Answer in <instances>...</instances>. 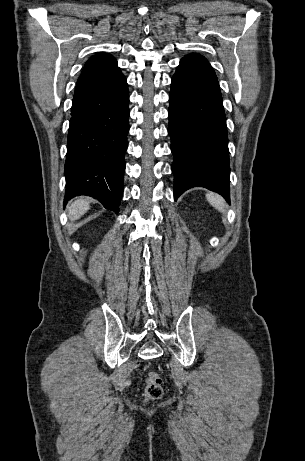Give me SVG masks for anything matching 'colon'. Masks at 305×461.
<instances>
[{
  "label": "colon",
  "mask_w": 305,
  "mask_h": 461,
  "mask_svg": "<svg viewBox=\"0 0 305 461\" xmlns=\"http://www.w3.org/2000/svg\"><path fill=\"white\" fill-rule=\"evenodd\" d=\"M163 394L162 379L155 371L146 374L145 398L148 400L159 399Z\"/></svg>",
  "instance_id": "colon-1"
}]
</instances>
